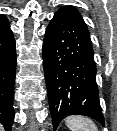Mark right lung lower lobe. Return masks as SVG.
Masks as SVG:
<instances>
[{"mask_svg":"<svg viewBox=\"0 0 117 131\" xmlns=\"http://www.w3.org/2000/svg\"><path fill=\"white\" fill-rule=\"evenodd\" d=\"M16 69V47L9 26L0 31V122L11 131L13 110V87Z\"/></svg>","mask_w":117,"mask_h":131,"instance_id":"right-lung-lower-lobe-1","label":"right lung lower lobe"}]
</instances>
